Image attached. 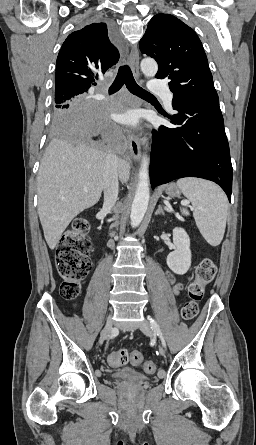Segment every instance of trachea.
Here are the masks:
<instances>
[{
    "label": "trachea",
    "mask_w": 256,
    "mask_h": 445,
    "mask_svg": "<svg viewBox=\"0 0 256 445\" xmlns=\"http://www.w3.org/2000/svg\"><path fill=\"white\" fill-rule=\"evenodd\" d=\"M134 95L139 97H154L151 93L141 88L135 81L132 71L128 65H123L119 68L117 76L109 88V93H115L121 89L123 85Z\"/></svg>",
    "instance_id": "1"
}]
</instances>
